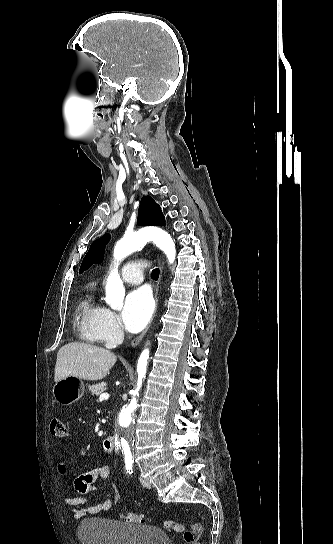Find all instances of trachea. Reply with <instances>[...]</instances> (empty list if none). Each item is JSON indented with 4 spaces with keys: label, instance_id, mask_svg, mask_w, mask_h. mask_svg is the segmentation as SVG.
<instances>
[{
    "label": "trachea",
    "instance_id": "trachea-1",
    "mask_svg": "<svg viewBox=\"0 0 333 544\" xmlns=\"http://www.w3.org/2000/svg\"><path fill=\"white\" fill-rule=\"evenodd\" d=\"M152 278H153L154 280H157V279L159 278V269H158V268H156V269H154V270L152 271Z\"/></svg>",
    "mask_w": 333,
    "mask_h": 544
}]
</instances>
